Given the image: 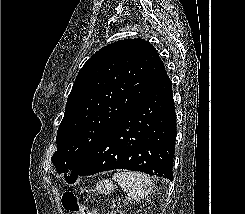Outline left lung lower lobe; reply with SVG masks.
<instances>
[{"label":"left lung lower lobe","instance_id":"0a47b994","mask_svg":"<svg viewBox=\"0 0 245 214\" xmlns=\"http://www.w3.org/2000/svg\"><path fill=\"white\" fill-rule=\"evenodd\" d=\"M175 140V106L168 78L119 119L65 180L72 184L78 176L128 169L172 181Z\"/></svg>","mask_w":245,"mask_h":214}]
</instances>
